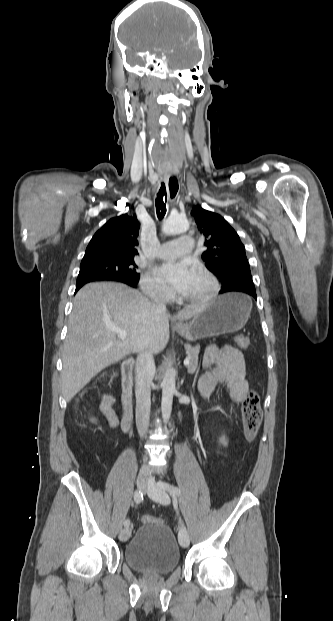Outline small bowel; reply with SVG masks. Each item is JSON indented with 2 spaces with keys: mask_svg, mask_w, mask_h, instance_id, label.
Segmentation results:
<instances>
[{
  "mask_svg": "<svg viewBox=\"0 0 333 621\" xmlns=\"http://www.w3.org/2000/svg\"><path fill=\"white\" fill-rule=\"evenodd\" d=\"M203 366L206 372L198 381L197 388L202 398L210 396L216 387L225 383L229 389L231 399L240 403L244 400L249 390V384L246 378V366L242 354L231 346L224 348L209 347L203 357ZM114 399L108 394L101 396L100 409L105 415L112 428L118 426L119 421L113 410ZM90 421L98 425L100 420L89 413ZM222 445L227 444V438L224 435L219 437Z\"/></svg>",
  "mask_w": 333,
  "mask_h": 621,
  "instance_id": "obj_1",
  "label": "small bowel"
}]
</instances>
